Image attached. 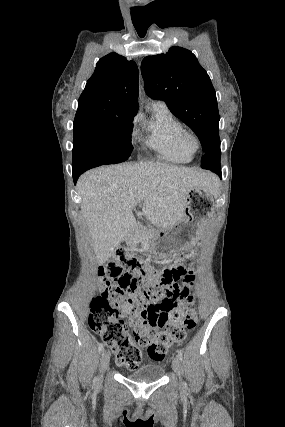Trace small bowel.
Instances as JSON below:
<instances>
[{
  "label": "small bowel",
  "mask_w": 285,
  "mask_h": 427,
  "mask_svg": "<svg viewBox=\"0 0 285 427\" xmlns=\"http://www.w3.org/2000/svg\"><path fill=\"white\" fill-rule=\"evenodd\" d=\"M192 270L189 271V275H192ZM178 289L181 291L180 287ZM182 294V293H180ZM178 296L165 293L153 305L146 311V321L148 324L153 325L156 328L163 327L166 323L164 316H166L170 310L169 305Z\"/></svg>",
  "instance_id": "small-bowel-1"
}]
</instances>
